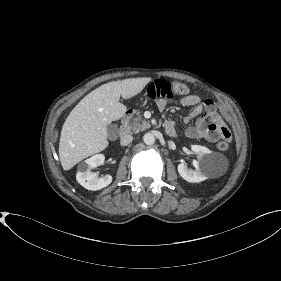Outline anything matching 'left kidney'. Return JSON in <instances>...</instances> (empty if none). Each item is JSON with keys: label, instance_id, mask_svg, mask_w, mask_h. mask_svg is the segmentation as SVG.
I'll return each mask as SVG.
<instances>
[{"label": "left kidney", "instance_id": "obj_1", "mask_svg": "<svg viewBox=\"0 0 281 281\" xmlns=\"http://www.w3.org/2000/svg\"><path fill=\"white\" fill-rule=\"evenodd\" d=\"M191 150L197 154V160H193L194 170L188 169L185 163L178 165L180 176L187 182L198 183L207 179L211 167V151L200 145H191Z\"/></svg>", "mask_w": 281, "mask_h": 281}]
</instances>
